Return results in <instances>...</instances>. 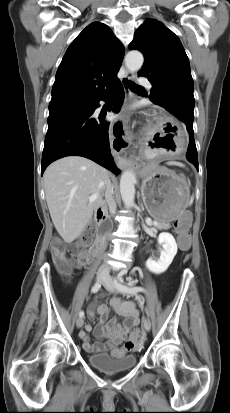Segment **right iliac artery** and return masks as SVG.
I'll return each instance as SVG.
<instances>
[{
    "label": "right iliac artery",
    "mask_w": 230,
    "mask_h": 413,
    "mask_svg": "<svg viewBox=\"0 0 230 413\" xmlns=\"http://www.w3.org/2000/svg\"><path fill=\"white\" fill-rule=\"evenodd\" d=\"M101 288V284L99 282L95 283L94 286L91 289L92 293H97L99 291V289ZM84 316V312L80 311L79 312V317H83Z\"/></svg>",
    "instance_id": "obj_1"
}]
</instances>
